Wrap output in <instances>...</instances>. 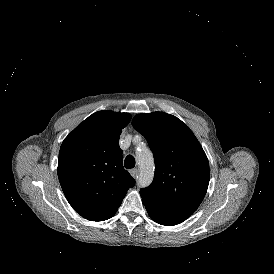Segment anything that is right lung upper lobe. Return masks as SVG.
<instances>
[{"instance_id":"cb5924a9","label":"right lung upper lobe","mask_w":274,"mask_h":274,"mask_svg":"<svg viewBox=\"0 0 274 274\" xmlns=\"http://www.w3.org/2000/svg\"><path fill=\"white\" fill-rule=\"evenodd\" d=\"M131 115L98 111L63 141L58 160L62 190L76 212L91 221L117 212L135 180L123 168L119 136Z\"/></svg>"}]
</instances>
